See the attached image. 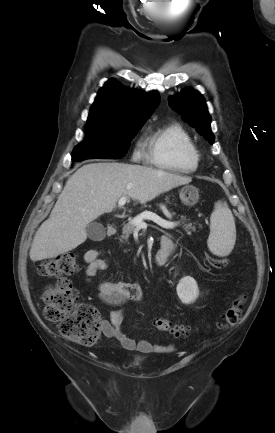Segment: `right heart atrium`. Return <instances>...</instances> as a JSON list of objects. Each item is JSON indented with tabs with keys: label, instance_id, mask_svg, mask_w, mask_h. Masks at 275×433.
I'll use <instances>...</instances> for the list:
<instances>
[{
	"label": "right heart atrium",
	"instance_id": "1",
	"mask_svg": "<svg viewBox=\"0 0 275 433\" xmlns=\"http://www.w3.org/2000/svg\"><path fill=\"white\" fill-rule=\"evenodd\" d=\"M139 156H140V151H139V149H137V150L134 152L133 157H134L135 159H137V158H139Z\"/></svg>",
	"mask_w": 275,
	"mask_h": 433
}]
</instances>
